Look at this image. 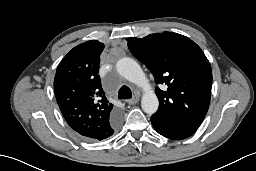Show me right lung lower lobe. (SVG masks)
Returning <instances> with one entry per match:
<instances>
[{"label":"right lung lower lobe","mask_w":256,"mask_h":171,"mask_svg":"<svg viewBox=\"0 0 256 171\" xmlns=\"http://www.w3.org/2000/svg\"><path fill=\"white\" fill-rule=\"evenodd\" d=\"M120 119L121 118H120L119 114H116V115L113 116V118L110 122V128L113 132L119 127Z\"/></svg>","instance_id":"98d812e1"}]
</instances>
